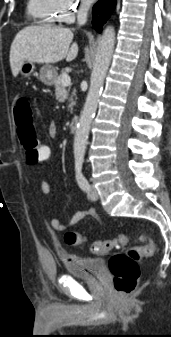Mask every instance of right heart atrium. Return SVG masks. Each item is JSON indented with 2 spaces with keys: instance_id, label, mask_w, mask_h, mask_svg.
Instances as JSON below:
<instances>
[{
  "instance_id": "1",
  "label": "right heart atrium",
  "mask_w": 171,
  "mask_h": 337,
  "mask_svg": "<svg viewBox=\"0 0 171 337\" xmlns=\"http://www.w3.org/2000/svg\"><path fill=\"white\" fill-rule=\"evenodd\" d=\"M52 4L57 10L59 21L64 23H72L87 9L83 0H52Z\"/></svg>"
}]
</instances>
